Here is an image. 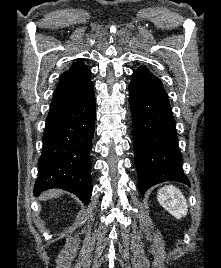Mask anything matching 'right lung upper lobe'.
I'll return each instance as SVG.
<instances>
[{"label":"right lung upper lobe","instance_id":"1","mask_svg":"<svg viewBox=\"0 0 221 268\" xmlns=\"http://www.w3.org/2000/svg\"><path fill=\"white\" fill-rule=\"evenodd\" d=\"M92 90L89 69L82 61H77L61 76L51 106L79 100Z\"/></svg>","mask_w":221,"mask_h":268}]
</instances>
